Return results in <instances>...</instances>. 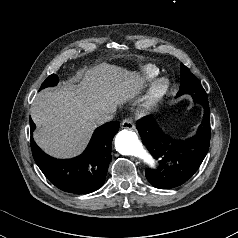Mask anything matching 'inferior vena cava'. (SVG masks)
<instances>
[{"mask_svg":"<svg viewBox=\"0 0 238 238\" xmlns=\"http://www.w3.org/2000/svg\"><path fill=\"white\" fill-rule=\"evenodd\" d=\"M113 112H103L96 116L95 121L98 125L104 124L113 119Z\"/></svg>","mask_w":238,"mask_h":238,"instance_id":"inferior-vena-cava-1","label":"inferior vena cava"}]
</instances>
